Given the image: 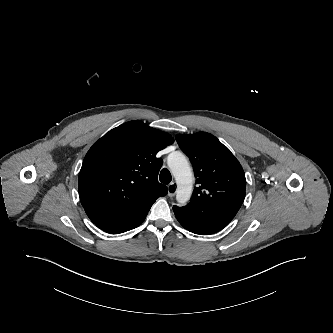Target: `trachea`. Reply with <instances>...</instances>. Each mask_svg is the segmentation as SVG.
I'll use <instances>...</instances> for the list:
<instances>
[{
  "label": "trachea",
  "instance_id": "trachea-1",
  "mask_svg": "<svg viewBox=\"0 0 333 333\" xmlns=\"http://www.w3.org/2000/svg\"><path fill=\"white\" fill-rule=\"evenodd\" d=\"M159 179L164 184H169L172 180L171 173L168 169L163 168L160 172Z\"/></svg>",
  "mask_w": 333,
  "mask_h": 333
}]
</instances>
